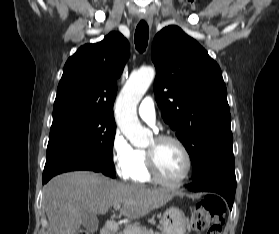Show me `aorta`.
<instances>
[{
    "instance_id": "762f6f07",
    "label": "aorta",
    "mask_w": 279,
    "mask_h": 234,
    "mask_svg": "<svg viewBox=\"0 0 279 234\" xmlns=\"http://www.w3.org/2000/svg\"><path fill=\"white\" fill-rule=\"evenodd\" d=\"M155 70L147 67L133 72L116 102V121L122 133L137 147L146 146L150 130L142 127L137 116V105L151 85Z\"/></svg>"
}]
</instances>
